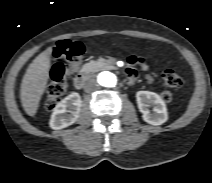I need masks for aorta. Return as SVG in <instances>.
Segmentation results:
<instances>
[{
    "label": "aorta",
    "instance_id": "aorta-1",
    "mask_svg": "<svg viewBox=\"0 0 212 183\" xmlns=\"http://www.w3.org/2000/svg\"><path fill=\"white\" fill-rule=\"evenodd\" d=\"M97 84L103 88H113L117 85V77L111 72H102L97 77Z\"/></svg>",
    "mask_w": 212,
    "mask_h": 183
}]
</instances>
